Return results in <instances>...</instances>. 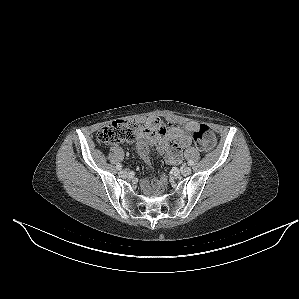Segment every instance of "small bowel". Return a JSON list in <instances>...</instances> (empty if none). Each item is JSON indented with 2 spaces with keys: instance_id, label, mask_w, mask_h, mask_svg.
Here are the masks:
<instances>
[{
  "instance_id": "c3829d8e",
  "label": "small bowel",
  "mask_w": 299,
  "mask_h": 299,
  "mask_svg": "<svg viewBox=\"0 0 299 299\" xmlns=\"http://www.w3.org/2000/svg\"><path fill=\"white\" fill-rule=\"evenodd\" d=\"M199 124L195 121H188L183 126H170L166 128L161 119L157 116L148 117L136 139V149L145 163L150 164V149L156 148L164 155L170 165H177L182 160L183 150L192 143V135ZM212 142L214 136L211 133ZM164 178L155 180L152 185L158 189Z\"/></svg>"
}]
</instances>
